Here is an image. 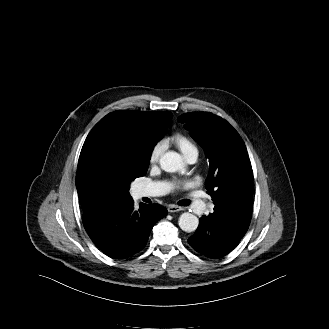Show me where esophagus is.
I'll use <instances>...</instances> for the list:
<instances>
[{
	"mask_svg": "<svg viewBox=\"0 0 329 329\" xmlns=\"http://www.w3.org/2000/svg\"><path fill=\"white\" fill-rule=\"evenodd\" d=\"M181 210H183V208L182 207H179V206H177V205H169L168 206V211L169 212H178V211H181Z\"/></svg>",
	"mask_w": 329,
	"mask_h": 329,
	"instance_id": "esophagus-1",
	"label": "esophagus"
}]
</instances>
